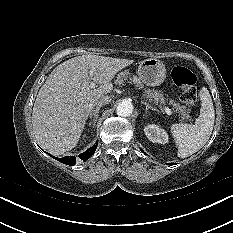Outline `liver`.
Instances as JSON below:
<instances>
[{
    "label": "liver",
    "mask_w": 233,
    "mask_h": 233,
    "mask_svg": "<svg viewBox=\"0 0 233 233\" xmlns=\"http://www.w3.org/2000/svg\"><path fill=\"white\" fill-rule=\"evenodd\" d=\"M132 62L82 55L59 64L40 88L34 103L32 125L38 144L54 155L72 150L96 102L111 93V80ZM91 80L99 87L91 88Z\"/></svg>",
    "instance_id": "1"
}]
</instances>
